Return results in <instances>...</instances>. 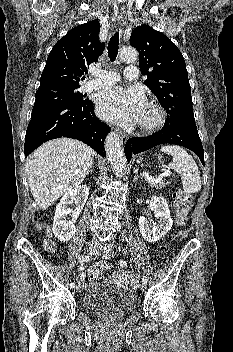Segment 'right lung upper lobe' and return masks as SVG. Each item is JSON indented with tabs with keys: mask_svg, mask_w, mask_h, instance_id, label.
Here are the masks:
<instances>
[{
	"mask_svg": "<svg viewBox=\"0 0 233 352\" xmlns=\"http://www.w3.org/2000/svg\"><path fill=\"white\" fill-rule=\"evenodd\" d=\"M100 23L96 20L72 28L52 48L40 79V87L51 84L79 85L82 75L102 55Z\"/></svg>",
	"mask_w": 233,
	"mask_h": 352,
	"instance_id": "obj_1",
	"label": "right lung upper lobe"
}]
</instances>
